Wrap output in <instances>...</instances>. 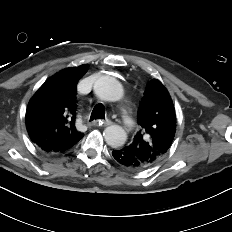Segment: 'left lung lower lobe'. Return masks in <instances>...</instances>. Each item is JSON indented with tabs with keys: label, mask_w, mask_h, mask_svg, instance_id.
Masks as SVG:
<instances>
[{
	"label": "left lung lower lobe",
	"mask_w": 232,
	"mask_h": 232,
	"mask_svg": "<svg viewBox=\"0 0 232 232\" xmlns=\"http://www.w3.org/2000/svg\"><path fill=\"white\" fill-rule=\"evenodd\" d=\"M114 160L121 166L130 170H142L140 169V162L130 153L127 147H123L112 151Z\"/></svg>",
	"instance_id": "obj_1"
}]
</instances>
